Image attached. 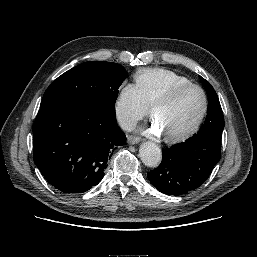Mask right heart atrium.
<instances>
[{
    "mask_svg": "<svg viewBox=\"0 0 257 257\" xmlns=\"http://www.w3.org/2000/svg\"><path fill=\"white\" fill-rule=\"evenodd\" d=\"M149 111L141 90L135 83L123 84L115 100V114L124 128L132 127Z\"/></svg>",
    "mask_w": 257,
    "mask_h": 257,
    "instance_id": "1",
    "label": "right heart atrium"
}]
</instances>
